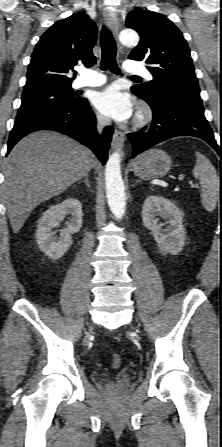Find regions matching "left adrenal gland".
I'll use <instances>...</instances> for the list:
<instances>
[{
    "mask_svg": "<svg viewBox=\"0 0 222 447\" xmlns=\"http://www.w3.org/2000/svg\"><path fill=\"white\" fill-rule=\"evenodd\" d=\"M139 182H141V181H140V180H136V181H135V184H137V183H139Z\"/></svg>",
    "mask_w": 222,
    "mask_h": 447,
    "instance_id": "left-adrenal-gland-1",
    "label": "left adrenal gland"
}]
</instances>
